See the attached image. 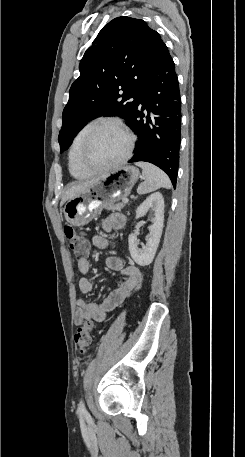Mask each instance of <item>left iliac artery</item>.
<instances>
[{"label": "left iliac artery", "instance_id": "1", "mask_svg": "<svg viewBox=\"0 0 245 457\" xmlns=\"http://www.w3.org/2000/svg\"><path fill=\"white\" fill-rule=\"evenodd\" d=\"M78 411H80L81 413H83L86 416L88 415V412H87V410L85 408V405H84L82 400L78 404Z\"/></svg>", "mask_w": 245, "mask_h": 457}]
</instances>
